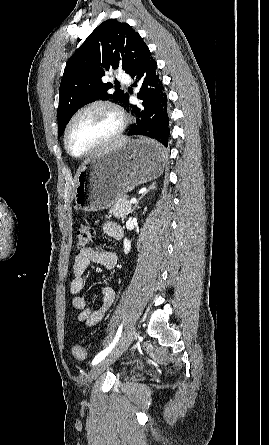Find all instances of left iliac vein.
Wrapping results in <instances>:
<instances>
[{"mask_svg": "<svg viewBox=\"0 0 269 445\" xmlns=\"http://www.w3.org/2000/svg\"><path fill=\"white\" fill-rule=\"evenodd\" d=\"M136 328L134 326H130L120 339L117 346L114 350L104 359H102L95 368L90 372L88 376V387L89 385L112 363H114L128 348L133 339L136 336Z\"/></svg>", "mask_w": 269, "mask_h": 445, "instance_id": "1", "label": "left iliac vein"}]
</instances>
